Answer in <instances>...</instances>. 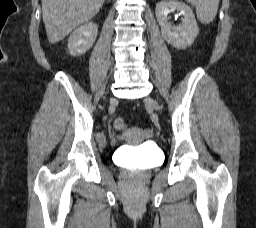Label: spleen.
Here are the masks:
<instances>
[{"label": "spleen", "instance_id": "spleen-1", "mask_svg": "<svg viewBox=\"0 0 256 228\" xmlns=\"http://www.w3.org/2000/svg\"><path fill=\"white\" fill-rule=\"evenodd\" d=\"M196 8V14L202 24L211 23L217 14L219 0H186Z\"/></svg>", "mask_w": 256, "mask_h": 228}]
</instances>
